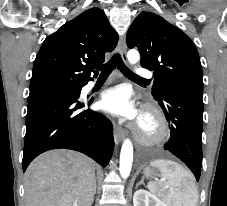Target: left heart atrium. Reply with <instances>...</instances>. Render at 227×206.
Wrapping results in <instances>:
<instances>
[{
    "instance_id": "1",
    "label": "left heart atrium",
    "mask_w": 227,
    "mask_h": 206,
    "mask_svg": "<svg viewBox=\"0 0 227 206\" xmlns=\"http://www.w3.org/2000/svg\"><path fill=\"white\" fill-rule=\"evenodd\" d=\"M101 106L104 110L121 116L124 119L140 120L141 114L129 91L123 86H117L107 90L101 98Z\"/></svg>"
}]
</instances>
